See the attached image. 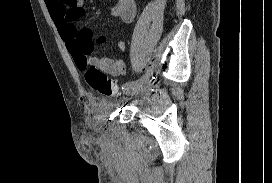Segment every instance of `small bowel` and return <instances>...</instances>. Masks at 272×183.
Returning a JSON list of instances; mask_svg holds the SVG:
<instances>
[{"instance_id": "1", "label": "small bowel", "mask_w": 272, "mask_h": 183, "mask_svg": "<svg viewBox=\"0 0 272 183\" xmlns=\"http://www.w3.org/2000/svg\"><path fill=\"white\" fill-rule=\"evenodd\" d=\"M45 2L79 70L85 71L89 67H94L115 77L125 73L126 65L122 59L90 56L95 45L103 43L106 37L100 35L95 38L91 28L84 24L87 14L83 7V0H45ZM136 13L135 0H117L112 11L113 16L125 23H131ZM118 47L120 50H125V42H119Z\"/></svg>"}]
</instances>
